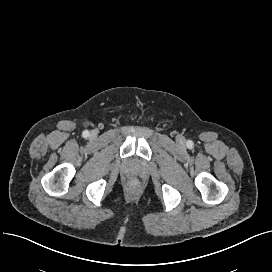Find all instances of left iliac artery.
Returning <instances> with one entry per match:
<instances>
[{
	"label": "left iliac artery",
	"instance_id": "obj_1",
	"mask_svg": "<svg viewBox=\"0 0 272 272\" xmlns=\"http://www.w3.org/2000/svg\"><path fill=\"white\" fill-rule=\"evenodd\" d=\"M187 145H188V147H192L193 146V142L192 141H188Z\"/></svg>",
	"mask_w": 272,
	"mask_h": 272
}]
</instances>
